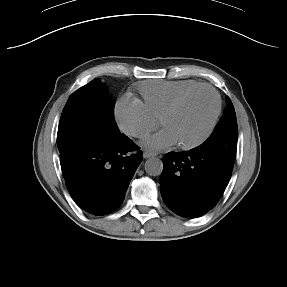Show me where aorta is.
<instances>
[{
  "mask_svg": "<svg viewBox=\"0 0 287 287\" xmlns=\"http://www.w3.org/2000/svg\"><path fill=\"white\" fill-rule=\"evenodd\" d=\"M145 171L150 176H158L163 171V163L157 157L149 158L145 162Z\"/></svg>",
  "mask_w": 287,
  "mask_h": 287,
  "instance_id": "aorta-1",
  "label": "aorta"
}]
</instances>
